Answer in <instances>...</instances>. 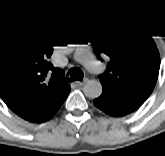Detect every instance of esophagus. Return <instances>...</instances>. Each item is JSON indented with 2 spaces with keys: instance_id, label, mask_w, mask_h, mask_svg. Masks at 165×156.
<instances>
[{
  "instance_id": "obj_1",
  "label": "esophagus",
  "mask_w": 165,
  "mask_h": 156,
  "mask_svg": "<svg viewBox=\"0 0 165 156\" xmlns=\"http://www.w3.org/2000/svg\"><path fill=\"white\" fill-rule=\"evenodd\" d=\"M86 80L87 79H84L83 81H75L74 83H75L76 86L80 87L85 83Z\"/></svg>"
}]
</instances>
